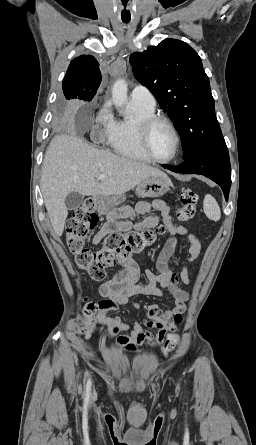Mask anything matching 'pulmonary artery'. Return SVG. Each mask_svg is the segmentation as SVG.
Instances as JSON below:
<instances>
[{
	"label": "pulmonary artery",
	"instance_id": "pulmonary-artery-1",
	"mask_svg": "<svg viewBox=\"0 0 256 445\" xmlns=\"http://www.w3.org/2000/svg\"><path fill=\"white\" fill-rule=\"evenodd\" d=\"M131 104L145 109H154L155 99L150 90L142 85L134 87L130 93Z\"/></svg>",
	"mask_w": 256,
	"mask_h": 445
}]
</instances>
